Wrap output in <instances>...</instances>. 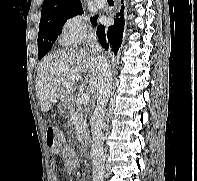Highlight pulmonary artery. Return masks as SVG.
Instances as JSON below:
<instances>
[{"instance_id": "obj_1", "label": "pulmonary artery", "mask_w": 197, "mask_h": 181, "mask_svg": "<svg viewBox=\"0 0 197 181\" xmlns=\"http://www.w3.org/2000/svg\"><path fill=\"white\" fill-rule=\"evenodd\" d=\"M93 2L98 8H103L106 5V0H93Z\"/></svg>"}]
</instances>
